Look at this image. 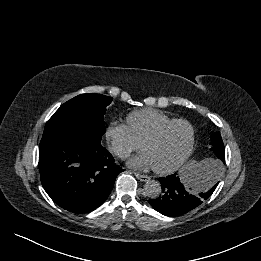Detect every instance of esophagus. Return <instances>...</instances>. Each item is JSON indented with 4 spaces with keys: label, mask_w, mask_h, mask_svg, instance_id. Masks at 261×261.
Here are the masks:
<instances>
[{
    "label": "esophagus",
    "mask_w": 261,
    "mask_h": 261,
    "mask_svg": "<svg viewBox=\"0 0 261 261\" xmlns=\"http://www.w3.org/2000/svg\"><path fill=\"white\" fill-rule=\"evenodd\" d=\"M134 174L140 181H143V182H146V181H148L150 179L146 175H142V174H139V173H134Z\"/></svg>",
    "instance_id": "esophagus-1"
}]
</instances>
